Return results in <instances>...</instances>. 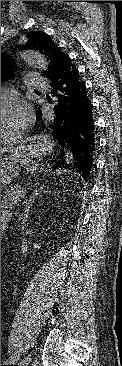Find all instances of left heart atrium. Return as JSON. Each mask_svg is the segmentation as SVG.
Masks as SVG:
<instances>
[{
    "mask_svg": "<svg viewBox=\"0 0 122 366\" xmlns=\"http://www.w3.org/2000/svg\"><path fill=\"white\" fill-rule=\"evenodd\" d=\"M19 111H20V114L22 116H24V117L26 116V113H25L26 108H25V105L23 103L20 105Z\"/></svg>",
    "mask_w": 122,
    "mask_h": 366,
    "instance_id": "39dd6f15",
    "label": "left heart atrium"
}]
</instances>
